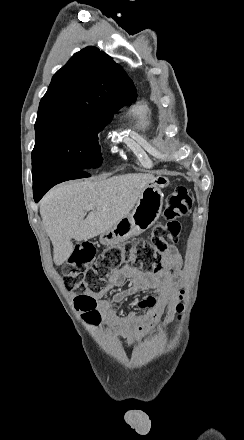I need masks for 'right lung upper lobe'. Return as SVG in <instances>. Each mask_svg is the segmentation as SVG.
<instances>
[{"instance_id":"cb5924a9","label":"right lung upper lobe","mask_w":244,"mask_h":440,"mask_svg":"<svg viewBox=\"0 0 244 440\" xmlns=\"http://www.w3.org/2000/svg\"><path fill=\"white\" fill-rule=\"evenodd\" d=\"M135 99L133 82L122 67L105 52L89 46L55 73L40 103H81L116 112Z\"/></svg>"}]
</instances>
